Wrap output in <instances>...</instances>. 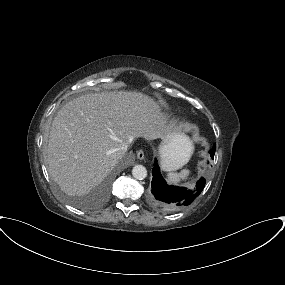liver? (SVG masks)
Segmentation results:
<instances>
[{
	"label": "liver",
	"mask_w": 285,
	"mask_h": 285,
	"mask_svg": "<svg viewBox=\"0 0 285 285\" xmlns=\"http://www.w3.org/2000/svg\"><path fill=\"white\" fill-rule=\"evenodd\" d=\"M165 123L158 103L140 92L103 91L75 98L52 122L46 150L49 174L68 195L86 194L122 159V145L138 137H160ZM162 154H185L176 135Z\"/></svg>",
	"instance_id": "liver-1"
}]
</instances>
